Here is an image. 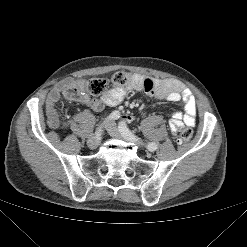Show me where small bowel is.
Wrapping results in <instances>:
<instances>
[{"instance_id": "small-bowel-1", "label": "small bowel", "mask_w": 247, "mask_h": 247, "mask_svg": "<svg viewBox=\"0 0 247 247\" xmlns=\"http://www.w3.org/2000/svg\"><path fill=\"white\" fill-rule=\"evenodd\" d=\"M136 79L138 83L132 87H114L108 90L99 99H94L87 94H83L77 101L89 106L93 110L101 111L106 106H115L119 104L126 96L128 90L134 88L160 100L171 102L181 100L184 103V111L173 112L169 122V127L173 134L184 126L193 127L195 125L197 105L196 99L190 90L184 88L179 82L170 79L159 80L142 76L136 77ZM82 83L83 81L74 82L69 80L50 91L46 100L47 123L50 127L55 128L63 123V120L57 111V104L60 101L61 93L75 85L81 86ZM125 120L131 121V117H125Z\"/></svg>"}]
</instances>
